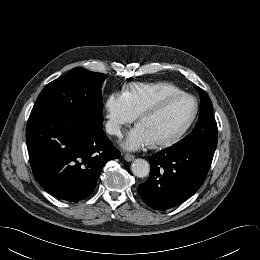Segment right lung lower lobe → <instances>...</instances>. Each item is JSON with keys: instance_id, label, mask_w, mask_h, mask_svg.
<instances>
[{"instance_id": "right-lung-lower-lobe-1", "label": "right lung lower lobe", "mask_w": 260, "mask_h": 260, "mask_svg": "<svg viewBox=\"0 0 260 260\" xmlns=\"http://www.w3.org/2000/svg\"><path fill=\"white\" fill-rule=\"evenodd\" d=\"M101 124L74 113L30 114L26 142L31 168L48 193L78 202L94 191L105 163L120 157Z\"/></svg>"}]
</instances>
